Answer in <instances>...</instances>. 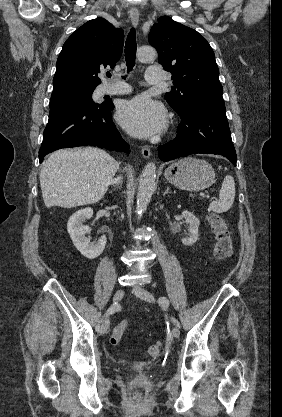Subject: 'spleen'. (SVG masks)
<instances>
[{
	"instance_id": "spleen-1",
	"label": "spleen",
	"mask_w": 282,
	"mask_h": 417,
	"mask_svg": "<svg viewBox=\"0 0 282 417\" xmlns=\"http://www.w3.org/2000/svg\"><path fill=\"white\" fill-rule=\"evenodd\" d=\"M235 198V182L233 176L227 174L220 188L219 200L210 202V209L213 213H226L231 209Z\"/></svg>"
}]
</instances>
